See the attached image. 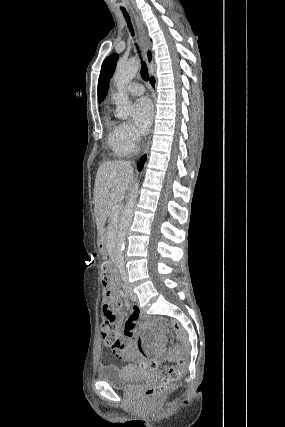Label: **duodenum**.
<instances>
[{
	"label": "duodenum",
	"instance_id": "1",
	"mask_svg": "<svg viewBox=\"0 0 285 427\" xmlns=\"http://www.w3.org/2000/svg\"><path fill=\"white\" fill-rule=\"evenodd\" d=\"M104 238H105V231H101V233H100V240H101V242L104 241Z\"/></svg>",
	"mask_w": 285,
	"mask_h": 427
}]
</instances>
